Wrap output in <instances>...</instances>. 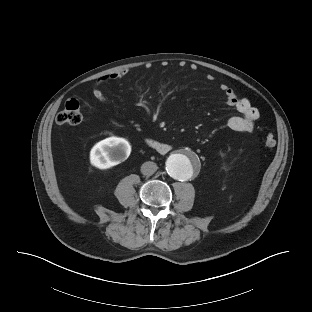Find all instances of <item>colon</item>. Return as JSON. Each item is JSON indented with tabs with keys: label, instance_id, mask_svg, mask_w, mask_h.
<instances>
[{
	"label": "colon",
	"instance_id": "1",
	"mask_svg": "<svg viewBox=\"0 0 312 312\" xmlns=\"http://www.w3.org/2000/svg\"><path fill=\"white\" fill-rule=\"evenodd\" d=\"M82 121V113L80 104L75 99H70L65 103L64 109L56 116L58 124L77 125ZM264 144L268 148H273L276 145L275 136L272 133H267L264 137Z\"/></svg>",
	"mask_w": 312,
	"mask_h": 312
}]
</instances>
